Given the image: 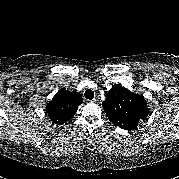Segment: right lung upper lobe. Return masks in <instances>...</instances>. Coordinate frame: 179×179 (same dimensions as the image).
Wrapping results in <instances>:
<instances>
[{
	"label": "right lung upper lobe",
	"mask_w": 179,
	"mask_h": 179,
	"mask_svg": "<svg viewBox=\"0 0 179 179\" xmlns=\"http://www.w3.org/2000/svg\"><path fill=\"white\" fill-rule=\"evenodd\" d=\"M82 103L83 99L79 93L62 89L46 105V113L54 123L64 124L72 119L78 106Z\"/></svg>",
	"instance_id": "1"
}]
</instances>
